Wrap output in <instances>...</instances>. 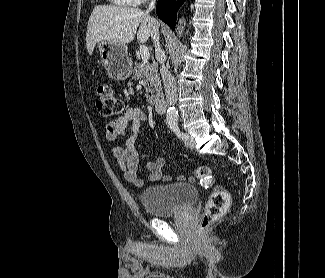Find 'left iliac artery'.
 <instances>
[{
    "instance_id": "left-iliac-artery-1",
    "label": "left iliac artery",
    "mask_w": 325,
    "mask_h": 278,
    "mask_svg": "<svg viewBox=\"0 0 325 278\" xmlns=\"http://www.w3.org/2000/svg\"><path fill=\"white\" fill-rule=\"evenodd\" d=\"M172 129V131L177 135V137L181 140H187L188 139V136L183 133L179 126L177 124H174L170 127Z\"/></svg>"
}]
</instances>
